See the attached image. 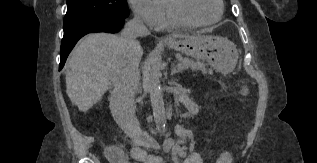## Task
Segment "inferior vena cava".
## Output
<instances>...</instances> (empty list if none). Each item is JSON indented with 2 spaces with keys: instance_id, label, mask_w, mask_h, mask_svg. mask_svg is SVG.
I'll return each mask as SVG.
<instances>
[{
  "instance_id": "obj_1",
  "label": "inferior vena cava",
  "mask_w": 317,
  "mask_h": 163,
  "mask_svg": "<svg viewBox=\"0 0 317 163\" xmlns=\"http://www.w3.org/2000/svg\"><path fill=\"white\" fill-rule=\"evenodd\" d=\"M148 34V29L138 16L126 23L120 40L122 59L112 78L111 112L122 130L132 139H137L141 135L134 102L140 79L139 62L134 54L139 45L137 37Z\"/></svg>"
}]
</instances>
